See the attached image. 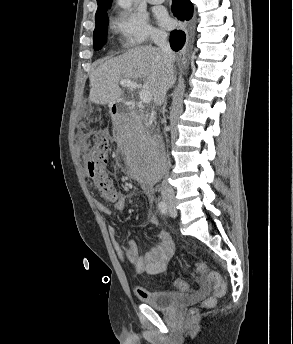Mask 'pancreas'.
<instances>
[{
  "label": "pancreas",
  "mask_w": 293,
  "mask_h": 344,
  "mask_svg": "<svg viewBox=\"0 0 293 344\" xmlns=\"http://www.w3.org/2000/svg\"><path fill=\"white\" fill-rule=\"evenodd\" d=\"M143 130V125L142 124H140V126L138 127V129H136V130H133V134H135V135H137L138 134V132H141Z\"/></svg>",
  "instance_id": "cf45deb5"
}]
</instances>
